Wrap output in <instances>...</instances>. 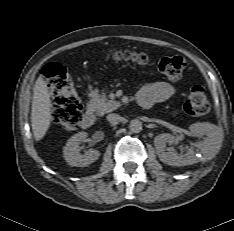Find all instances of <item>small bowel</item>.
<instances>
[{
  "mask_svg": "<svg viewBox=\"0 0 234 231\" xmlns=\"http://www.w3.org/2000/svg\"><path fill=\"white\" fill-rule=\"evenodd\" d=\"M175 88L167 82H155L145 85L138 93L137 100L142 107H150L155 103L169 100Z\"/></svg>",
  "mask_w": 234,
  "mask_h": 231,
  "instance_id": "small-bowel-1",
  "label": "small bowel"
}]
</instances>
